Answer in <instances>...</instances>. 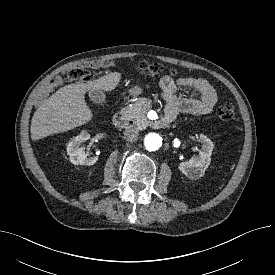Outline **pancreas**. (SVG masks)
Here are the masks:
<instances>
[{
    "mask_svg": "<svg viewBox=\"0 0 275 275\" xmlns=\"http://www.w3.org/2000/svg\"><path fill=\"white\" fill-rule=\"evenodd\" d=\"M152 108V103L150 99L139 98L134 104L128 106L122 113L133 118L141 126H146L149 124L146 118V113Z\"/></svg>",
    "mask_w": 275,
    "mask_h": 275,
    "instance_id": "cf45deb5",
    "label": "pancreas"
}]
</instances>
